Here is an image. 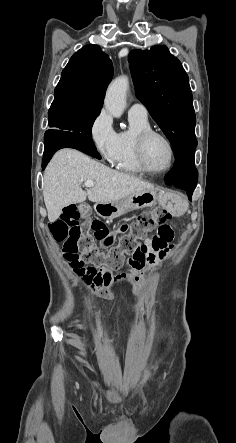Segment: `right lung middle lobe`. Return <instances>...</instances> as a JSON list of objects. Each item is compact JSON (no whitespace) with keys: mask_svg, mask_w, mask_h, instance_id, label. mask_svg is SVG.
Masks as SVG:
<instances>
[{"mask_svg":"<svg viewBox=\"0 0 236 443\" xmlns=\"http://www.w3.org/2000/svg\"><path fill=\"white\" fill-rule=\"evenodd\" d=\"M99 112V109H86L69 104L51 105L48 112V125L52 129L46 133L75 136L93 142L91 131Z\"/></svg>","mask_w":236,"mask_h":443,"instance_id":"right-lung-middle-lobe-1","label":"right lung middle lobe"}]
</instances>
